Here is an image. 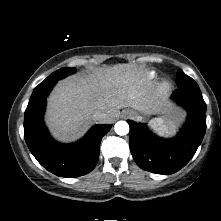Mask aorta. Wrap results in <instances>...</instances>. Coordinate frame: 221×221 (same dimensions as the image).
<instances>
[{"instance_id":"obj_1","label":"aorta","mask_w":221,"mask_h":221,"mask_svg":"<svg viewBox=\"0 0 221 221\" xmlns=\"http://www.w3.org/2000/svg\"><path fill=\"white\" fill-rule=\"evenodd\" d=\"M114 130L118 135H126L129 132V125L126 121H118L115 124Z\"/></svg>"}]
</instances>
